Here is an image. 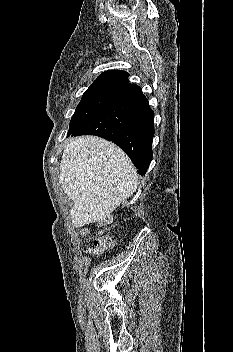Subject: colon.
<instances>
[{"label": "colon", "instance_id": "colon-1", "mask_svg": "<svg viewBox=\"0 0 233 352\" xmlns=\"http://www.w3.org/2000/svg\"><path fill=\"white\" fill-rule=\"evenodd\" d=\"M83 235L86 234L85 231L82 232ZM113 246V240L110 235L105 234L98 237L91 248L87 250L90 254H101L107 250H109Z\"/></svg>", "mask_w": 233, "mask_h": 352}]
</instances>
